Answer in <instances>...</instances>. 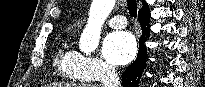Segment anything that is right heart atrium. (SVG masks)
<instances>
[{
  "instance_id": "right-heart-atrium-1",
  "label": "right heart atrium",
  "mask_w": 205,
  "mask_h": 87,
  "mask_svg": "<svg viewBox=\"0 0 205 87\" xmlns=\"http://www.w3.org/2000/svg\"><path fill=\"white\" fill-rule=\"evenodd\" d=\"M78 70L88 80L100 79L114 72V69L102 59L82 54L79 57Z\"/></svg>"
}]
</instances>
